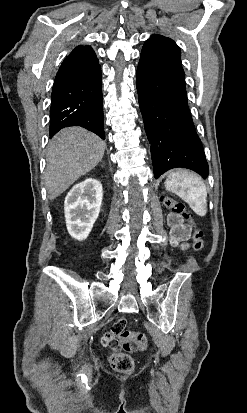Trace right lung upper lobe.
I'll return each mask as SVG.
<instances>
[{"label":"right lung upper lobe","instance_id":"1","mask_svg":"<svg viewBox=\"0 0 247 413\" xmlns=\"http://www.w3.org/2000/svg\"><path fill=\"white\" fill-rule=\"evenodd\" d=\"M98 62L95 52L91 46L78 45L72 52L64 59L61 67H68L72 65L80 66L86 63Z\"/></svg>","mask_w":247,"mask_h":413}]
</instances>
